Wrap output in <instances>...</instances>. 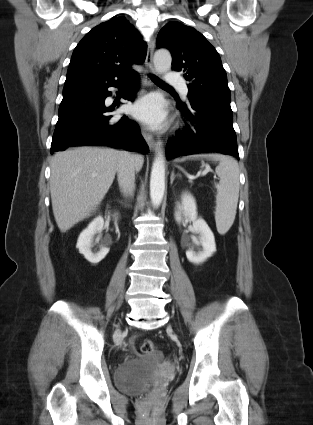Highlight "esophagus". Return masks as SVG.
Listing matches in <instances>:
<instances>
[{
	"mask_svg": "<svg viewBox=\"0 0 313 425\" xmlns=\"http://www.w3.org/2000/svg\"><path fill=\"white\" fill-rule=\"evenodd\" d=\"M154 46H155L154 40H151L148 44L147 55H146V59H145L146 69H145V72H144V77H145L146 80L148 79L149 73L155 72L154 65H153ZM142 136L145 139V141L147 142L149 148L151 150H153L154 147H155V142H154L152 134L146 128H142Z\"/></svg>",
	"mask_w": 313,
	"mask_h": 425,
	"instance_id": "esophagus-1",
	"label": "esophagus"
}]
</instances>
